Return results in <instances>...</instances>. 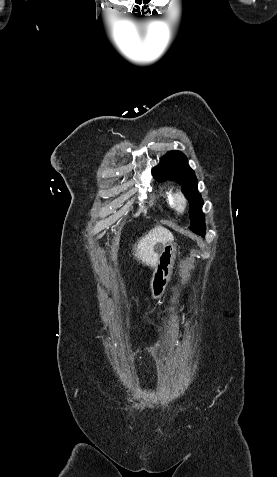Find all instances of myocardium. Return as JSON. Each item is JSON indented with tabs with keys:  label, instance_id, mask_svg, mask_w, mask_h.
<instances>
[{
	"label": "myocardium",
	"instance_id": "1",
	"mask_svg": "<svg viewBox=\"0 0 277 477\" xmlns=\"http://www.w3.org/2000/svg\"><path fill=\"white\" fill-rule=\"evenodd\" d=\"M173 204L178 211L183 212L188 205V200L182 192L178 191L173 195Z\"/></svg>",
	"mask_w": 277,
	"mask_h": 477
}]
</instances>
